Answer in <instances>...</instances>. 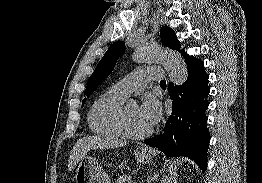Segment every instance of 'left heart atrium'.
Instances as JSON below:
<instances>
[{
  "label": "left heart atrium",
  "mask_w": 262,
  "mask_h": 183,
  "mask_svg": "<svg viewBox=\"0 0 262 183\" xmlns=\"http://www.w3.org/2000/svg\"><path fill=\"white\" fill-rule=\"evenodd\" d=\"M139 107V113L147 127L152 128L159 121L161 111L156 99L151 95L144 96Z\"/></svg>",
  "instance_id": "left-heart-atrium-1"
}]
</instances>
